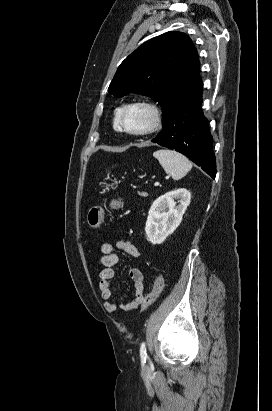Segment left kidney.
Instances as JSON below:
<instances>
[{
  "label": "left kidney",
  "mask_w": 272,
  "mask_h": 411,
  "mask_svg": "<svg viewBox=\"0 0 272 411\" xmlns=\"http://www.w3.org/2000/svg\"><path fill=\"white\" fill-rule=\"evenodd\" d=\"M190 199L191 193L184 188L167 192L156 199L146 221L147 240L154 245L163 243L180 225ZM175 200H179L178 205Z\"/></svg>",
  "instance_id": "obj_1"
}]
</instances>
